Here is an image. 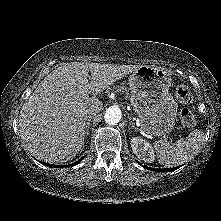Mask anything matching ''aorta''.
Returning a JSON list of instances; mask_svg holds the SVG:
<instances>
[{"label":"aorta","mask_w":221,"mask_h":221,"mask_svg":"<svg viewBox=\"0 0 221 221\" xmlns=\"http://www.w3.org/2000/svg\"><path fill=\"white\" fill-rule=\"evenodd\" d=\"M122 117V113L119 107L117 106H110L104 115V120L109 125L117 124Z\"/></svg>","instance_id":"762f6f07"}]
</instances>
